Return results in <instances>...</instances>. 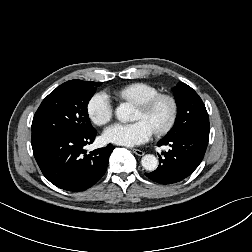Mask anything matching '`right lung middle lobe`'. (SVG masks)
Listing matches in <instances>:
<instances>
[{
	"label": "right lung middle lobe",
	"mask_w": 252,
	"mask_h": 252,
	"mask_svg": "<svg viewBox=\"0 0 252 252\" xmlns=\"http://www.w3.org/2000/svg\"><path fill=\"white\" fill-rule=\"evenodd\" d=\"M101 82L70 80L58 86L41 103L32 122V135H85L95 131L87 105Z\"/></svg>",
	"instance_id": "dd1d6c3e"
}]
</instances>
